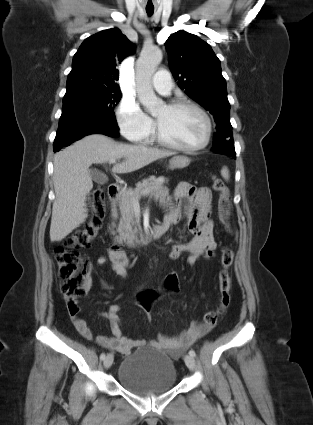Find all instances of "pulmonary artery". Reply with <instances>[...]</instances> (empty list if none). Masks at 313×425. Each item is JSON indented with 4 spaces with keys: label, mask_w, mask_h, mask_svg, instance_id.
Instances as JSON below:
<instances>
[{
    "label": "pulmonary artery",
    "mask_w": 313,
    "mask_h": 425,
    "mask_svg": "<svg viewBox=\"0 0 313 425\" xmlns=\"http://www.w3.org/2000/svg\"><path fill=\"white\" fill-rule=\"evenodd\" d=\"M152 85L160 94L169 95L173 87L169 72L164 69L158 70L152 79Z\"/></svg>",
    "instance_id": "e3ab8cb5"
}]
</instances>
